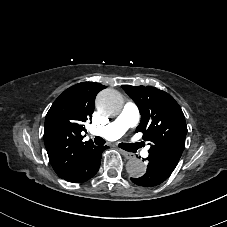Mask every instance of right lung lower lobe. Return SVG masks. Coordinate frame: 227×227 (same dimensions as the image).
I'll use <instances>...</instances> for the list:
<instances>
[{"label":"right lung lower lobe","mask_w":227,"mask_h":227,"mask_svg":"<svg viewBox=\"0 0 227 227\" xmlns=\"http://www.w3.org/2000/svg\"><path fill=\"white\" fill-rule=\"evenodd\" d=\"M107 147L94 146L88 149L66 173L59 176L70 182H85L93 177L101 163V155Z\"/></svg>","instance_id":"obj_1"}]
</instances>
